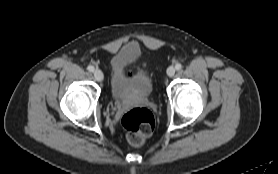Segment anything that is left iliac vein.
Listing matches in <instances>:
<instances>
[{
  "label": "left iliac vein",
  "mask_w": 278,
  "mask_h": 174,
  "mask_svg": "<svg viewBox=\"0 0 278 174\" xmlns=\"http://www.w3.org/2000/svg\"><path fill=\"white\" fill-rule=\"evenodd\" d=\"M175 72H176V69L174 67H172V66L167 69V75L169 77H173Z\"/></svg>",
  "instance_id": "left-iliac-vein-1"
}]
</instances>
